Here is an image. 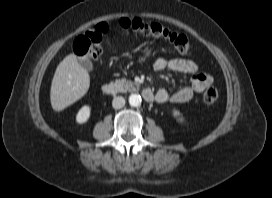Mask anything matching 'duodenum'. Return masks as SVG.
Segmentation results:
<instances>
[{
  "instance_id": "obj_1",
  "label": "duodenum",
  "mask_w": 272,
  "mask_h": 198,
  "mask_svg": "<svg viewBox=\"0 0 272 198\" xmlns=\"http://www.w3.org/2000/svg\"><path fill=\"white\" fill-rule=\"evenodd\" d=\"M102 92L105 95L114 96L119 92V89L114 84L106 83L102 86ZM142 95L147 102H153L155 99L153 92L148 88L142 91Z\"/></svg>"
}]
</instances>
